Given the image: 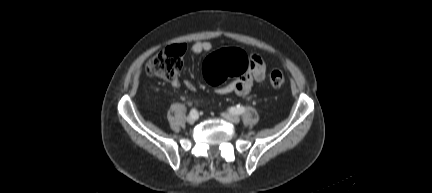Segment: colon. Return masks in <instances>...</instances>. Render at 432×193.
I'll return each instance as SVG.
<instances>
[{
    "label": "colon",
    "instance_id": "colon-1",
    "mask_svg": "<svg viewBox=\"0 0 432 193\" xmlns=\"http://www.w3.org/2000/svg\"><path fill=\"white\" fill-rule=\"evenodd\" d=\"M182 46H171L157 53L147 64L148 72L167 82H175L183 66ZM251 67L250 56L241 49L227 48L211 54L204 62L203 71L207 80L213 85H220L228 78L239 77ZM273 87L285 83L281 70H274L269 76Z\"/></svg>",
    "mask_w": 432,
    "mask_h": 193
}]
</instances>
